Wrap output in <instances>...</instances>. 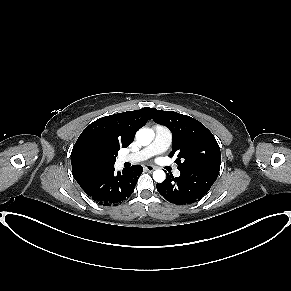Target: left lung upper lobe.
I'll use <instances>...</instances> for the list:
<instances>
[{
    "instance_id": "left-lung-upper-lobe-1",
    "label": "left lung upper lobe",
    "mask_w": 291,
    "mask_h": 291,
    "mask_svg": "<svg viewBox=\"0 0 291 291\" xmlns=\"http://www.w3.org/2000/svg\"><path fill=\"white\" fill-rule=\"evenodd\" d=\"M151 118L172 132L170 157L177 155L179 170L219 172L221 154L213 134L198 120L174 111L153 109Z\"/></svg>"
}]
</instances>
